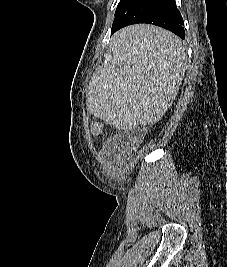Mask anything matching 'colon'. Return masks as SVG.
<instances>
[{
	"instance_id": "5ec220e1",
	"label": "colon",
	"mask_w": 227,
	"mask_h": 267,
	"mask_svg": "<svg viewBox=\"0 0 227 267\" xmlns=\"http://www.w3.org/2000/svg\"><path fill=\"white\" fill-rule=\"evenodd\" d=\"M90 132L94 136H99L103 132V127L100 122H94L90 126ZM145 132L143 129H137L130 131L127 135L122 137V141L128 147H133L143 141Z\"/></svg>"
}]
</instances>
